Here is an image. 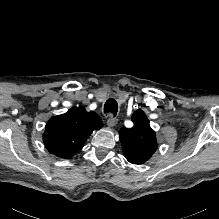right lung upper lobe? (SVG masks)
Segmentation results:
<instances>
[{"label": "right lung upper lobe", "mask_w": 219, "mask_h": 219, "mask_svg": "<svg viewBox=\"0 0 219 219\" xmlns=\"http://www.w3.org/2000/svg\"><path fill=\"white\" fill-rule=\"evenodd\" d=\"M102 126L103 122L95 112H87L83 107H73L66 113L49 119L43 141L51 154L69 159L83 148L93 130Z\"/></svg>", "instance_id": "cb5924a9"}]
</instances>
